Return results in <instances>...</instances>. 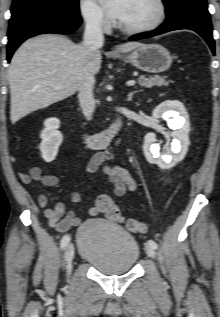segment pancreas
Returning <instances> with one entry per match:
<instances>
[{
    "instance_id": "1",
    "label": "pancreas",
    "mask_w": 220,
    "mask_h": 317,
    "mask_svg": "<svg viewBox=\"0 0 220 317\" xmlns=\"http://www.w3.org/2000/svg\"><path fill=\"white\" fill-rule=\"evenodd\" d=\"M138 82L140 86L145 88H151L153 86H162V85H168L169 82L165 80V77L161 76H149L146 77L145 75H141L138 78Z\"/></svg>"
}]
</instances>
